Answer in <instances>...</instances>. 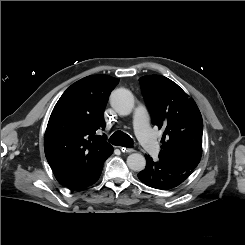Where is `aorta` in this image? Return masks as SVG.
Instances as JSON below:
<instances>
[{
	"mask_svg": "<svg viewBox=\"0 0 245 245\" xmlns=\"http://www.w3.org/2000/svg\"><path fill=\"white\" fill-rule=\"evenodd\" d=\"M110 103L119 115L126 116L134 107V97L129 90L120 88L112 92ZM127 165L133 171H142L146 165L145 157L139 153H133L128 156Z\"/></svg>",
	"mask_w": 245,
	"mask_h": 245,
	"instance_id": "762f6f07",
	"label": "aorta"
}]
</instances>
